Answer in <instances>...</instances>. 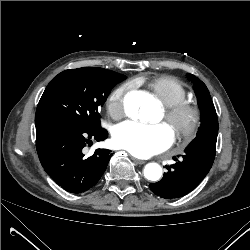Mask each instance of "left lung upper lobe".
Instances as JSON below:
<instances>
[{
	"label": "left lung upper lobe",
	"mask_w": 250,
	"mask_h": 250,
	"mask_svg": "<svg viewBox=\"0 0 250 250\" xmlns=\"http://www.w3.org/2000/svg\"><path fill=\"white\" fill-rule=\"evenodd\" d=\"M188 79L194 83L198 106L201 112V126L197 137L218 131V119L210 93L205 84L194 75L189 74Z\"/></svg>",
	"instance_id": "1"
}]
</instances>
